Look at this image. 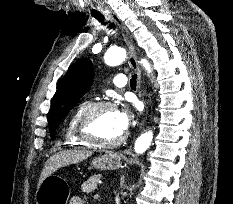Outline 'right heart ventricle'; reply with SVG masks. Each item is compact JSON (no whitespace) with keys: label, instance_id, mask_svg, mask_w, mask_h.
<instances>
[{"label":"right heart ventricle","instance_id":"e07e8e85","mask_svg":"<svg viewBox=\"0 0 233 204\" xmlns=\"http://www.w3.org/2000/svg\"><path fill=\"white\" fill-rule=\"evenodd\" d=\"M87 106L86 103H81L79 104L75 110L71 113L69 116L66 127H65V133H64V138L66 144L72 147L76 146H88L89 144L80 139L76 133V124L79 115L83 111V109Z\"/></svg>","mask_w":233,"mask_h":204}]
</instances>
